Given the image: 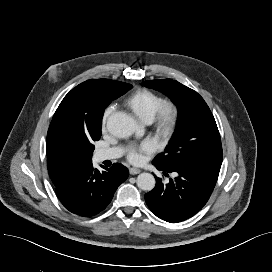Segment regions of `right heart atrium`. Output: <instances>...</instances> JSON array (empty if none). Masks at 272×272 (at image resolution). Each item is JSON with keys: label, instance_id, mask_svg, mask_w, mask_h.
Masks as SVG:
<instances>
[{"label": "right heart atrium", "instance_id": "1", "mask_svg": "<svg viewBox=\"0 0 272 272\" xmlns=\"http://www.w3.org/2000/svg\"><path fill=\"white\" fill-rule=\"evenodd\" d=\"M113 110V107L112 106H108L105 111H104V114H103V117H102V126L104 127L106 125V122L111 114Z\"/></svg>", "mask_w": 272, "mask_h": 272}]
</instances>
